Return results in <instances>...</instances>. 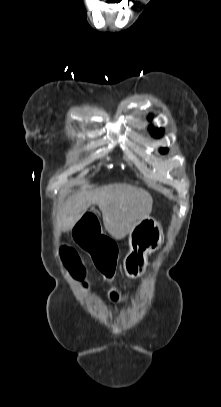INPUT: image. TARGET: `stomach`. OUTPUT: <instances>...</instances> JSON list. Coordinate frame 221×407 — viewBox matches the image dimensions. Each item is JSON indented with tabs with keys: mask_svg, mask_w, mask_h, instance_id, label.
Returning <instances> with one entry per match:
<instances>
[{
	"mask_svg": "<svg viewBox=\"0 0 221 407\" xmlns=\"http://www.w3.org/2000/svg\"><path fill=\"white\" fill-rule=\"evenodd\" d=\"M130 250L124 258V268L129 275H137L146 267L148 255L162 243V229L151 217L140 220L129 233Z\"/></svg>",
	"mask_w": 221,
	"mask_h": 407,
	"instance_id": "obj_1",
	"label": "stomach"
}]
</instances>
